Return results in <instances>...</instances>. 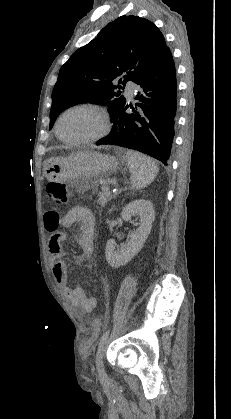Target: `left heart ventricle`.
I'll use <instances>...</instances> for the list:
<instances>
[{
	"label": "left heart ventricle",
	"mask_w": 231,
	"mask_h": 419,
	"mask_svg": "<svg viewBox=\"0 0 231 419\" xmlns=\"http://www.w3.org/2000/svg\"><path fill=\"white\" fill-rule=\"evenodd\" d=\"M101 128V118L87 110L69 112L60 123V132L67 139L87 138L98 133Z\"/></svg>",
	"instance_id": "left-heart-ventricle-1"
}]
</instances>
